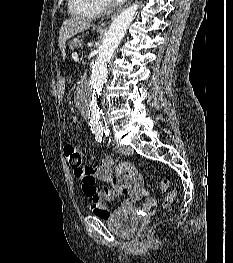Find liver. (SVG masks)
<instances>
[{
    "label": "liver",
    "instance_id": "liver-1",
    "mask_svg": "<svg viewBox=\"0 0 233 263\" xmlns=\"http://www.w3.org/2000/svg\"><path fill=\"white\" fill-rule=\"evenodd\" d=\"M91 27V22L78 18V17H72L69 19H66L59 31V38H58V45L61 50V54L63 58L65 59L66 53H65V48H66V41L77 35L80 32H83Z\"/></svg>",
    "mask_w": 233,
    "mask_h": 263
}]
</instances>
